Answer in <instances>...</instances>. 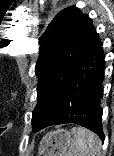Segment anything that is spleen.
I'll return each mask as SVG.
<instances>
[{
	"mask_svg": "<svg viewBox=\"0 0 114 156\" xmlns=\"http://www.w3.org/2000/svg\"><path fill=\"white\" fill-rule=\"evenodd\" d=\"M74 143L67 156H101V140L92 131L83 127L72 129Z\"/></svg>",
	"mask_w": 114,
	"mask_h": 156,
	"instance_id": "3e777b00",
	"label": "spleen"
}]
</instances>
